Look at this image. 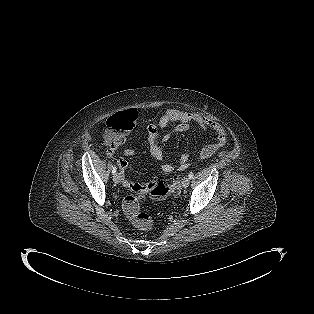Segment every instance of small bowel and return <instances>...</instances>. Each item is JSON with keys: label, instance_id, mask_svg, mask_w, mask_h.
Instances as JSON below:
<instances>
[{"label": "small bowel", "instance_id": "obj_1", "mask_svg": "<svg viewBox=\"0 0 314 314\" xmlns=\"http://www.w3.org/2000/svg\"><path fill=\"white\" fill-rule=\"evenodd\" d=\"M176 123V125L162 136L159 131L165 130L170 124ZM194 123L205 132H213L215 139L205 145L201 152L200 157L202 159H208L212 157L220 148H222L227 142V132L222 124L210 119L209 117L193 111H180L177 109L166 110L160 118L149 124L146 129V138L149 144V150L153 157L159 161L165 159L163 145L166 144L174 134L183 133L190 129L191 124ZM127 137L123 136L120 140L113 143H107L108 149L106 154L112 158L115 154L116 149L126 141ZM124 154L126 157H132L135 154V150L132 146L125 149ZM117 163L120 169L125 171H131V167L123 157L117 159ZM189 156L187 153L181 155L179 159V168L185 169L189 167ZM161 170L165 173H170L174 170V165L171 163L164 162L160 166Z\"/></svg>", "mask_w": 314, "mask_h": 314}]
</instances>
